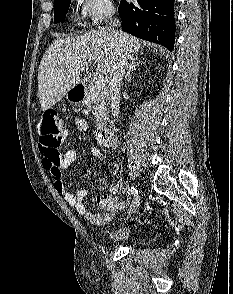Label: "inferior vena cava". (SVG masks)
Returning a JSON list of instances; mask_svg holds the SVG:
<instances>
[{"label":"inferior vena cava","instance_id":"602c4592","mask_svg":"<svg viewBox=\"0 0 233 294\" xmlns=\"http://www.w3.org/2000/svg\"><path fill=\"white\" fill-rule=\"evenodd\" d=\"M127 66V56L122 51H119L114 58V63L110 73L109 87V102L112 116L117 118L119 116L120 108V87Z\"/></svg>","mask_w":233,"mask_h":294}]
</instances>
